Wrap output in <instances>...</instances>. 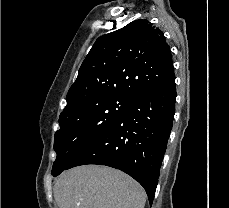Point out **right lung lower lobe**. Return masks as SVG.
<instances>
[{
  "instance_id": "right-lung-lower-lobe-1",
  "label": "right lung lower lobe",
  "mask_w": 229,
  "mask_h": 208,
  "mask_svg": "<svg viewBox=\"0 0 229 208\" xmlns=\"http://www.w3.org/2000/svg\"><path fill=\"white\" fill-rule=\"evenodd\" d=\"M175 76L141 94L110 127L88 142L66 169L85 164L120 169L153 202L175 113Z\"/></svg>"
}]
</instances>
